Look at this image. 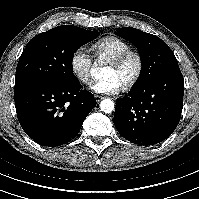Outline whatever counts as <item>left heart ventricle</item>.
<instances>
[{
	"instance_id": "left-heart-ventricle-1",
	"label": "left heart ventricle",
	"mask_w": 199,
	"mask_h": 199,
	"mask_svg": "<svg viewBox=\"0 0 199 199\" xmlns=\"http://www.w3.org/2000/svg\"><path fill=\"white\" fill-rule=\"evenodd\" d=\"M136 62L133 58H130L122 67L114 68L110 65L107 66L104 77H116L124 84L135 72Z\"/></svg>"
}]
</instances>
